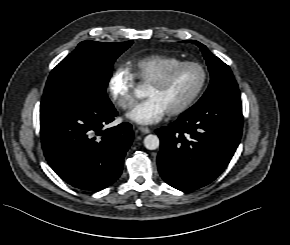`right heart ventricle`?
<instances>
[{"instance_id": "obj_1", "label": "right heart ventricle", "mask_w": 290, "mask_h": 245, "mask_svg": "<svg viewBox=\"0 0 290 245\" xmlns=\"http://www.w3.org/2000/svg\"><path fill=\"white\" fill-rule=\"evenodd\" d=\"M179 62L182 60L171 55H150L128 62V70L141 83H148L161 71Z\"/></svg>"}]
</instances>
